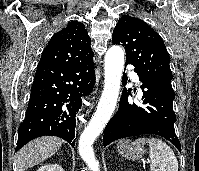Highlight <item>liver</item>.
<instances>
[{
	"label": "liver",
	"instance_id": "1",
	"mask_svg": "<svg viewBox=\"0 0 199 171\" xmlns=\"http://www.w3.org/2000/svg\"><path fill=\"white\" fill-rule=\"evenodd\" d=\"M62 143V139L54 136H43L32 140L16 155L18 171H25L53 156L60 149Z\"/></svg>",
	"mask_w": 199,
	"mask_h": 171
}]
</instances>
